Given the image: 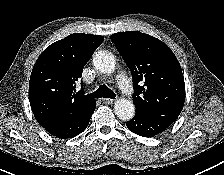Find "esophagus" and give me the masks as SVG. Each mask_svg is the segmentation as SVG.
Wrapping results in <instances>:
<instances>
[{"label":"esophagus","mask_w":224,"mask_h":175,"mask_svg":"<svg viewBox=\"0 0 224 175\" xmlns=\"http://www.w3.org/2000/svg\"><path fill=\"white\" fill-rule=\"evenodd\" d=\"M102 102L105 104H112L114 102L113 98H103Z\"/></svg>","instance_id":"1"}]
</instances>
